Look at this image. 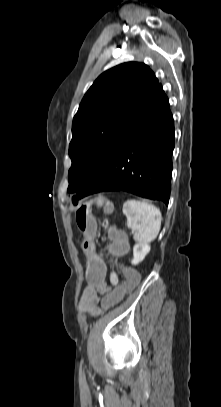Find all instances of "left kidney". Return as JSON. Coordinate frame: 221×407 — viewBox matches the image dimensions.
Returning a JSON list of instances; mask_svg holds the SVG:
<instances>
[{
	"mask_svg": "<svg viewBox=\"0 0 221 407\" xmlns=\"http://www.w3.org/2000/svg\"><path fill=\"white\" fill-rule=\"evenodd\" d=\"M150 252V245L148 243L139 242L133 248L132 264L137 265L144 260L145 256Z\"/></svg>",
	"mask_w": 221,
	"mask_h": 407,
	"instance_id": "5707ae66",
	"label": "left kidney"
}]
</instances>
